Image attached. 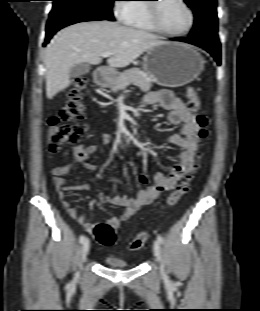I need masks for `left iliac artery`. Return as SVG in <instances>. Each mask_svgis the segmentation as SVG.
<instances>
[{
  "label": "left iliac artery",
  "instance_id": "44dca946",
  "mask_svg": "<svg viewBox=\"0 0 260 311\" xmlns=\"http://www.w3.org/2000/svg\"><path fill=\"white\" fill-rule=\"evenodd\" d=\"M157 240L159 241V243H163V237L161 235L157 236Z\"/></svg>",
  "mask_w": 260,
  "mask_h": 311
}]
</instances>
